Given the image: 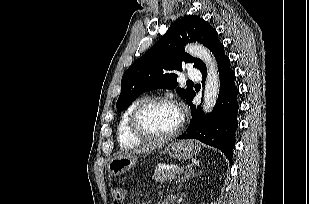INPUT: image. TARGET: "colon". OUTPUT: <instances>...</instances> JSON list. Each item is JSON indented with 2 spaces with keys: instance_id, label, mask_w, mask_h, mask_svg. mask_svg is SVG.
<instances>
[{
  "instance_id": "1",
  "label": "colon",
  "mask_w": 309,
  "mask_h": 204,
  "mask_svg": "<svg viewBox=\"0 0 309 204\" xmlns=\"http://www.w3.org/2000/svg\"><path fill=\"white\" fill-rule=\"evenodd\" d=\"M110 195L113 204H123L125 198V189L121 186H112L110 188Z\"/></svg>"
}]
</instances>
